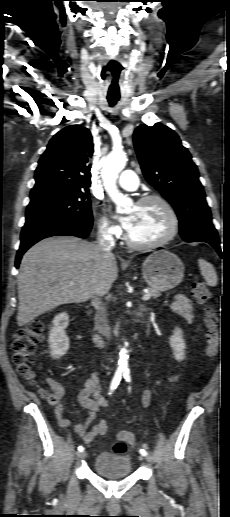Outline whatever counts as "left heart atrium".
<instances>
[{
	"label": "left heart atrium",
	"instance_id": "39dd6f15",
	"mask_svg": "<svg viewBox=\"0 0 230 517\" xmlns=\"http://www.w3.org/2000/svg\"><path fill=\"white\" fill-rule=\"evenodd\" d=\"M133 220H134L133 214H127L126 216L121 218V222L127 230H129L130 227L132 226Z\"/></svg>",
	"mask_w": 230,
	"mask_h": 517
}]
</instances>
